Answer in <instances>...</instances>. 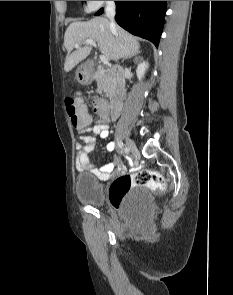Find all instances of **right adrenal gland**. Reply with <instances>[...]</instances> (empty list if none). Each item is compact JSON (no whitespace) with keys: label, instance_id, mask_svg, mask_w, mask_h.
I'll return each mask as SVG.
<instances>
[{"label":"right adrenal gland","instance_id":"obj_1","mask_svg":"<svg viewBox=\"0 0 233 295\" xmlns=\"http://www.w3.org/2000/svg\"><path fill=\"white\" fill-rule=\"evenodd\" d=\"M138 53H140V52L138 51L136 54H138ZM130 58H131V57H128V58H125V59H130ZM125 59H124V60H125Z\"/></svg>","mask_w":233,"mask_h":295}]
</instances>
